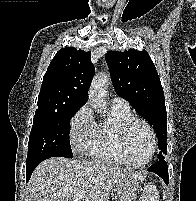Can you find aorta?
Wrapping results in <instances>:
<instances>
[{"mask_svg": "<svg viewBox=\"0 0 196 201\" xmlns=\"http://www.w3.org/2000/svg\"><path fill=\"white\" fill-rule=\"evenodd\" d=\"M109 80V74L100 73L93 78L89 90V101L96 108L103 109L106 106V85Z\"/></svg>", "mask_w": 196, "mask_h": 201, "instance_id": "obj_1", "label": "aorta"}]
</instances>
